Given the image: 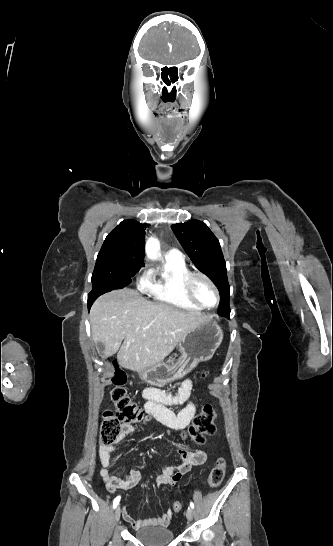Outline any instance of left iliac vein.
<instances>
[{"instance_id":"obj_1","label":"left iliac vein","mask_w":333,"mask_h":546,"mask_svg":"<svg viewBox=\"0 0 333 546\" xmlns=\"http://www.w3.org/2000/svg\"><path fill=\"white\" fill-rule=\"evenodd\" d=\"M193 509L191 507H189L186 511V517L188 520H192L193 519Z\"/></svg>"}]
</instances>
